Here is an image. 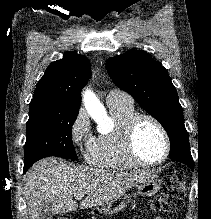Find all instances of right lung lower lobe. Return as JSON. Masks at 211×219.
I'll return each instance as SVG.
<instances>
[{"label": "right lung lower lobe", "instance_id": "98d812e1", "mask_svg": "<svg viewBox=\"0 0 211 219\" xmlns=\"http://www.w3.org/2000/svg\"><path fill=\"white\" fill-rule=\"evenodd\" d=\"M28 166L24 165V169H23V172L25 173L27 170H28Z\"/></svg>", "mask_w": 211, "mask_h": 219}]
</instances>
